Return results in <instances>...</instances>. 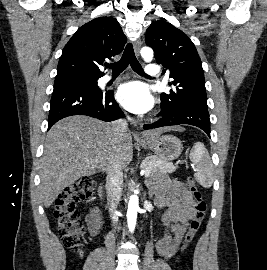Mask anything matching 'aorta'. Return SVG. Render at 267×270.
<instances>
[{
	"instance_id": "aorta-1",
	"label": "aorta",
	"mask_w": 267,
	"mask_h": 270,
	"mask_svg": "<svg viewBox=\"0 0 267 270\" xmlns=\"http://www.w3.org/2000/svg\"><path fill=\"white\" fill-rule=\"evenodd\" d=\"M142 58L146 62H150L153 59V50L150 47H143L140 51ZM139 210V198L136 194L132 195L129 199L127 209V224L130 232H133L137 220V212Z\"/></svg>"
}]
</instances>
